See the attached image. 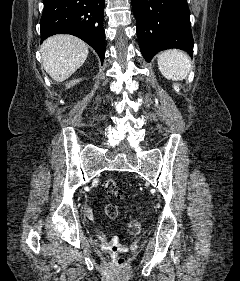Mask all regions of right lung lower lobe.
Returning a JSON list of instances; mask_svg holds the SVG:
<instances>
[{
    "label": "right lung lower lobe",
    "mask_w": 240,
    "mask_h": 281,
    "mask_svg": "<svg viewBox=\"0 0 240 281\" xmlns=\"http://www.w3.org/2000/svg\"><path fill=\"white\" fill-rule=\"evenodd\" d=\"M104 5L105 0H44L41 41L59 33L77 36L95 49L103 63Z\"/></svg>",
    "instance_id": "obj_1"
}]
</instances>
